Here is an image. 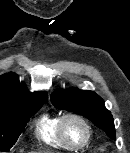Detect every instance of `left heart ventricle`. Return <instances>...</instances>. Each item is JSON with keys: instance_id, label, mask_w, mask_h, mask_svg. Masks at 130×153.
<instances>
[{"instance_id": "left-heart-ventricle-1", "label": "left heart ventricle", "mask_w": 130, "mask_h": 153, "mask_svg": "<svg viewBox=\"0 0 130 153\" xmlns=\"http://www.w3.org/2000/svg\"><path fill=\"white\" fill-rule=\"evenodd\" d=\"M65 133L68 140L75 145L82 144L86 138L84 127L76 120H68L66 122Z\"/></svg>"}]
</instances>
